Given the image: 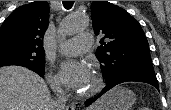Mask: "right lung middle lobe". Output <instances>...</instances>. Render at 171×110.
<instances>
[{
  "instance_id": "dd1d6c3e",
  "label": "right lung middle lobe",
  "mask_w": 171,
  "mask_h": 110,
  "mask_svg": "<svg viewBox=\"0 0 171 110\" xmlns=\"http://www.w3.org/2000/svg\"><path fill=\"white\" fill-rule=\"evenodd\" d=\"M18 65L27 67L39 75H44V50L23 47L15 43L0 44V67Z\"/></svg>"
}]
</instances>
